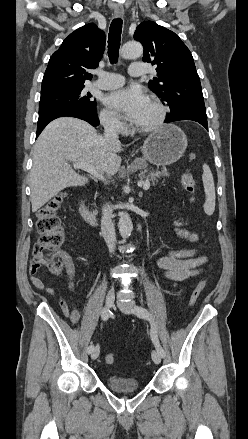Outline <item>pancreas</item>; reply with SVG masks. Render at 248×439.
<instances>
[{"mask_svg":"<svg viewBox=\"0 0 248 439\" xmlns=\"http://www.w3.org/2000/svg\"><path fill=\"white\" fill-rule=\"evenodd\" d=\"M145 173H147V176L143 175V177L146 178L148 181H151L153 184H155V182H158L159 178L168 174L167 169H162L161 171L146 170Z\"/></svg>","mask_w":248,"mask_h":439,"instance_id":"1","label":"pancreas"}]
</instances>
